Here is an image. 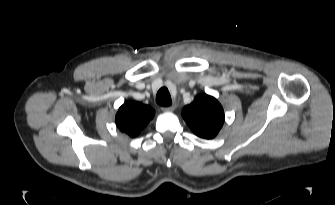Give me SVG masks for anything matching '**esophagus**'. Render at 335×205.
<instances>
[{"mask_svg":"<svg viewBox=\"0 0 335 205\" xmlns=\"http://www.w3.org/2000/svg\"><path fill=\"white\" fill-rule=\"evenodd\" d=\"M161 109H162V111H164V112H172V111H174L175 106L172 105V106H168V107H162Z\"/></svg>","mask_w":335,"mask_h":205,"instance_id":"obj_1","label":"esophagus"}]
</instances>
